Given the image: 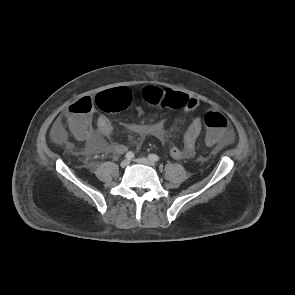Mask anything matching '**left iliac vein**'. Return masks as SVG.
I'll return each instance as SVG.
<instances>
[{
	"mask_svg": "<svg viewBox=\"0 0 295 295\" xmlns=\"http://www.w3.org/2000/svg\"><path fill=\"white\" fill-rule=\"evenodd\" d=\"M135 161L137 163H140V164H144V165H149V166L155 167V163L153 161H151L150 159L145 158V157L137 158V159H135Z\"/></svg>",
	"mask_w": 295,
	"mask_h": 295,
	"instance_id": "left-iliac-vein-1",
	"label": "left iliac vein"
}]
</instances>
